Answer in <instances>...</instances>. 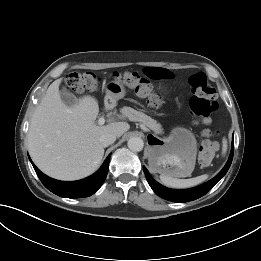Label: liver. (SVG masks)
Returning a JSON list of instances; mask_svg holds the SVG:
<instances>
[{"mask_svg":"<svg viewBox=\"0 0 261 261\" xmlns=\"http://www.w3.org/2000/svg\"><path fill=\"white\" fill-rule=\"evenodd\" d=\"M61 82L62 78L57 79L48 87L32 116L28 150L36 166L48 176L78 180L100 166L104 155L100 137L106 133L121 137L130 125L122 121L98 126L95 122L99 113L97 100L85 95L73 107H68L59 92Z\"/></svg>","mask_w":261,"mask_h":261,"instance_id":"obj_1","label":"liver"}]
</instances>
